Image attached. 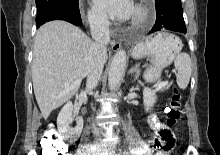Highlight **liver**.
<instances>
[{
	"instance_id": "liver-1",
	"label": "liver",
	"mask_w": 220,
	"mask_h": 155,
	"mask_svg": "<svg viewBox=\"0 0 220 155\" xmlns=\"http://www.w3.org/2000/svg\"><path fill=\"white\" fill-rule=\"evenodd\" d=\"M91 39L65 21L41 26L35 36L32 80L44 119L79 90L88 65Z\"/></svg>"
}]
</instances>
